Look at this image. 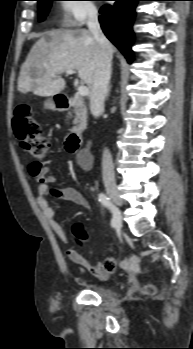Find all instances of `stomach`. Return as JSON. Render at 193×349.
Segmentation results:
<instances>
[{
  "label": "stomach",
  "mask_w": 193,
  "mask_h": 349,
  "mask_svg": "<svg viewBox=\"0 0 193 349\" xmlns=\"http://www.w3.org/2000/svg\"><path fill=\"white\" fill-rule=\"evenodd\" d=\"M44 107L46 109H49V110H56L57 105H56L54 98L51 97V98L46 99L44 102Z\"/></svg>",
  "instance_id": "0dacf381"
}]
</instances>
